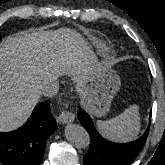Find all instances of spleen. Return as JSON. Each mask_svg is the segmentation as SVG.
I'll list each match as a JSON object with an SVG mask.
<instances>
[{
    "label": "spleen",
    "mask_w": 165,
    "mask_h": 165,
    "mask_svg": "<svg viewBox=\"0 0 165 165\" xmlns=\"http://www.w3.org/2000/svg\"><path fill=\"white\" fill-rule=\"evenodd\" d=\"M97 127L108 139L120 142L131 141L140 132L139 108L137 105H132L110 120H99Z\"/></svg>",
    "instance_id": "1"
}]
</instances>
